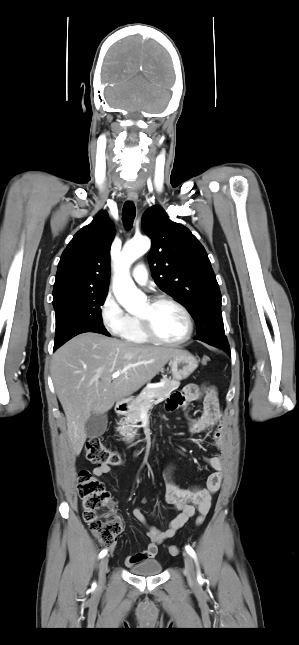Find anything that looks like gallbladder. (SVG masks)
Instances as JSON below:
<instances>
[{
    "instance_id": "gallbladder-1",
    "label": "gallbladder",
    "mask_w": 299,
    "mask_h": 645,
    "mask_svg": "<svg viewBox=\"0 0 299 645\" xmlns=\"http://www.w3.org/2000/svg\"><path fill=\"white\" fill-rule=\"evenodd\" d=\"M108 417L106 413L92 414L85 423L87 437L95 438L103 435L107 429Z\"/></svg>"
}]
</instances>
